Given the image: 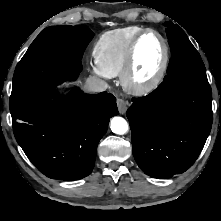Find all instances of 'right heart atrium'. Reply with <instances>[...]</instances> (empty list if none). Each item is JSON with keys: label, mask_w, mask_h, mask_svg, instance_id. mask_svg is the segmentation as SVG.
Segmentation results:
<instances>
[{"label": "right heart atrium", "mask_w": 221, "mask_h": 221, "mask_svg": "<svg viewBox=\"0 0 221 221\" xmlns=\"http://www.w3.org/2000/svg\"><path fill=\"white\" fill-rule=\"evenodd\" d=\"M91 69L93 71V73H95L96 75L100 76V77H103V78H109L110 76L108 74H106L102 68L97 64H93L91 66Z\"/></svg>", "instance_id": "obj_1"}]
</instances>
